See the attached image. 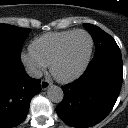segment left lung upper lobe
Here are the masks:
<instances>
[{
  "instance_id": "obj_1",
  "label": "left lung upper lobe",
  "mask_w": 128,
  "mask_h": 128,
  "mask_svg": "<svg viewBox=\"0 0 128 128\" xmlns=\"http://www.w3.org/2000/svg\"><path fill=\"white\" fill-rule=\"evenodd\" d=\"M84 25L90 31L91 36L93 37L96 46L95 55L105 50L119 49L113 37L104 32L101 28L92 24Z\"/></svg>"
}]
</instances>
